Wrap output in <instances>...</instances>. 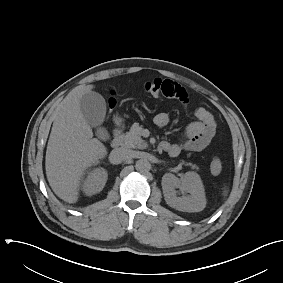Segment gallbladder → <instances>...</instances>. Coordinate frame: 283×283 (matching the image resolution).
<instances>
[{
	"label": "gallbladder",
	"mask_w": 283,
	"mask_h": 283,
	"mask_svg": "<svg viewBox=\"0 0 283 283\" xmlns=\"http://www.w3.org/2000/svg\"><path fill=\"white\" fill-rule=\"evenodd\" d=\"M80 110L88 124L96 128L97 137L107 140V130L101 126L106 115L105 99L99 93L88 92L80 99Z\"/></svg>",
	"instance_id": "1"
}]
</instances>
